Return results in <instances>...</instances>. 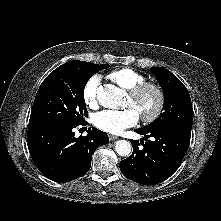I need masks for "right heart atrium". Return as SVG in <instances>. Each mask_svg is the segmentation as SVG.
<instances>
[{"mask_svg": "<svg viewBox=\"0 0 221 221\" xmlns=\"http://www.w3.org/2000/svg\"><path fill=\"white\" fill-rule=\"evenodd\" d=\"M99 76H92L87 80L83 87V100L85 104L90 108H95L99 103Z\"/></svg>", "mask_w": 221, "mask_h": 221, "instance_id": "1", "label": "right heart atrium"}]
</instances>
